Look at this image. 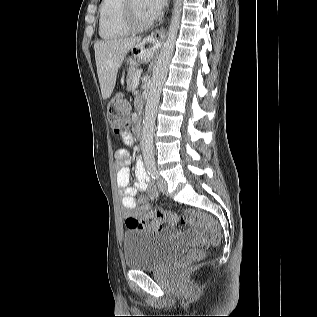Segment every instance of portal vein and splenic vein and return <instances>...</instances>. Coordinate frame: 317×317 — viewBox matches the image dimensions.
Listing matches in <instances>:
<instances>
[{
	"label": "portal vein and splenic vein",
	"instance_id": "portal-vein-and-splenic-vein-1",
	"mask_svg": "<svg viewBox=\"0 0 317 317\" xmlns=\"http://www.w3.org/2000/svg\"><path fill=\"white\" fill-rule=\"evenodd\" d=\"M141 70H137L136 72V76H135V79H134V89L137 88L138 84H139V79H140V76H141Z\"/></svg>",
	"mask_w": 317,
	"mask_h": 317
}]
</instances>
